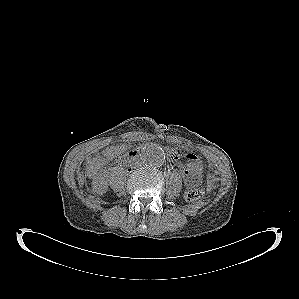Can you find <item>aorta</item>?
Instances as JSON below:
<instances>
[{"label":"aorta","instance_id":"762f6f07","mask_svg":"<svg viewBox=\"0 0 299 299\" xmlns=\"http://www.w3.org/2000/svg\"><path fill=\"white\" fill-rule=\"evenodd\" d=\"M142 162L149 167H159L165 159L164 150L157 144H147L140 150Z\"/></svg>","mask_w":299,"mask_h":299}]
</instances>
